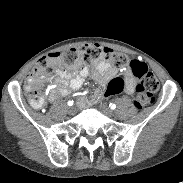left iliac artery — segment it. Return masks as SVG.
I'll return each instance as SVG.
<instances>
[{
  "instance_id": "44dca946",
  "label": "left iliac artery",
  "mask_w": 183,
  "mask_h": 183,
  "mask_svg": "<svg viewBox=\"0 0 183 183\" xmlns=\"http://www.w3.org/2000/svg\"><path fill=\"white\" fill-rule=\"evenodd\" d=\"M109 106H110V108L113 109V110L116 108V105H115L114 103H110Z\"/></svg>"
}]
</instances>
